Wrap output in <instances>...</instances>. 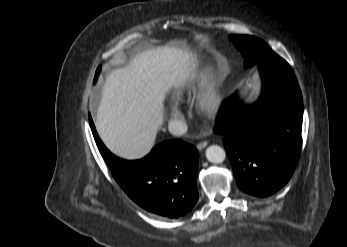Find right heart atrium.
Here are the masks:
<instances>
[{"instance_id":"d8ad5b80","label":"right heart atrium","mask_w":347,"mask_h":247,"mask_svg":"<svg viewBox=\"0 0 347 247\" xmlns=\"http://www.w3.org/2000/svg\"><path fill=\"white\" fill-rule=\"evenodd\" d=\"M170 116L174 119H179L182 117V111L180 110V108L176 105H173L171 108H170Z\"/></svg>"}]
</instances>
